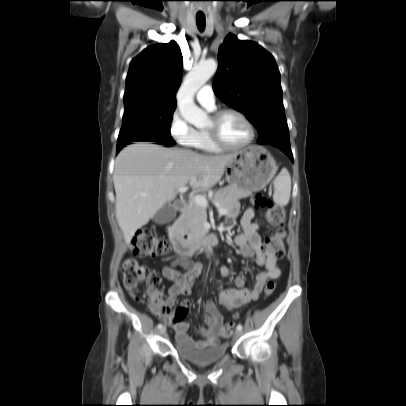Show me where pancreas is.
<instances>
[{"label": "pancreas", "mask_w": 406, "mask_h": 406, "mask_svg": "<svg viewBox=\"0 0 406 406\" xmlns=\"http://www.w3.org/2000/svg\"><path fill=\"white\" fill-rule=\"evenodd\" d=\"M252 194L250 191H246L239 187L227 186L215 192L213 200L219 204L221 208L229 211L231 206L239 199L248 197ZM207 220V211L205 207L196 204L193 200L190 201L180 217L177 224L179 229L189 235L195 237L201 233L206 232L204 223Z\"/></svg>", "instance_id": "obj_1"}]
</instances>
